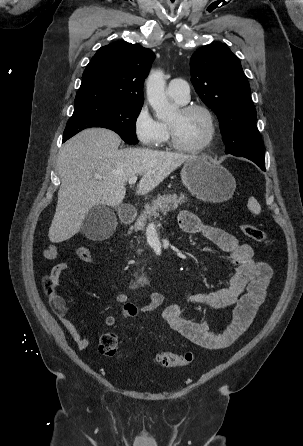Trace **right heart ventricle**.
I'll use <instances>...</instances> for the list:
<instances>
[{"mask_svg": "<svg viewBox=\"0 0 303 446\" xmlns=\"http://www.w3.org/2000/svg\"><path fill=\"white\" fill-rule=\"evenodd\" d=\"M178 104H183V103H185V102H182V101H180V100H178V99H175V98H173ZM162 124V126H163V129H164V131H165V138H164V140L162 141V142H164L166 139H167V137H168V131H167V124H165V123H161Z\"/></svg>", "mask_w": 303, "mask_h": 446, "instance_id": "e07e8e85", "label": "right heart ventricle"}]
</instances>
